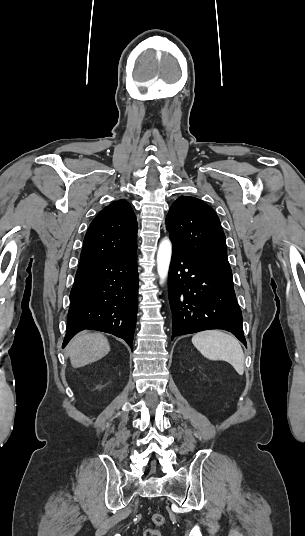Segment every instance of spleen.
Listing matches in <instances>:
<instances>
[{
	"instance_id": "obj_1",
	"label": "spleen",
	"mask_w": 305,
	"mask_h": 536,
	"mask_svg": "<svg viewBox=\"0 0 305 536\" xmlns=\"http://www.w3.org/2000/svg\"><path fill=\"white\" fill-rule=\"evenodd\" d=\"M192 344L208 360H224L233 366L237 374L242 376L244 372L245 356L236 338L219 332V330H207L198 332L192 338Z\"/></svg>"
}]
</instances>
